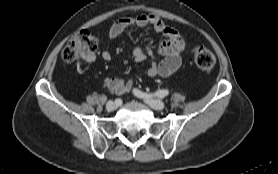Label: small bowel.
Wrapping results in <instances>:
<instances>
[{"instance_id":"small-bowel-1","label":"small bowel","mask_w":278,"mask_h":174,"mask_svg":"<svg viewBox=\"0 0 278 174\" xmlns=\"http://www.w3.org/2000/svg\"><path fill=\"white\" fill-rule=\"evenodd\" d=\"M151 26L157 33L163 36V41L159 47V54L163 57L159 63H153L147 69L150 77H168L177 71L182 63L181 53L185 48V40L182 34L175 28L167 26L158 16L153 14H143L136 17H127L115 21L109 29V37L114 39L130 28H143ZM101 57L108 62L112 56L110 52L103 51ZM95 56L88 58L93 61ZM134 63H141L146 59V53L142 47H137L131 56ZM104 86L111 92L123 95L130 92L134 86L132 80H125L119 77L106 78Z\"/></svg>"}]
</instances>
